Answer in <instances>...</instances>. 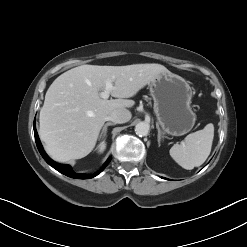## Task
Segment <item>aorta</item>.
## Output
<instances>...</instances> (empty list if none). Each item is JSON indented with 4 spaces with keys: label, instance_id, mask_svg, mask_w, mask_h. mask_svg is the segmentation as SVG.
Segmentation results:
<instances>
[{
    "label": "aorta",
    "instance_id": "762f6f07",
    "mask_svg": "<svg viewBox=\"0 0 247 247\" xmlns=\"http://www.w3.org/2000/svg\"><path fill=\"white\" fill-rule=\"evenodd\" d=\"M150 125L147 122H139L135 126V132L139 136H146L149 132Z\"/></svg>",
    "mask_w": 247,
    "mask_h": 247
}]
</instances>
